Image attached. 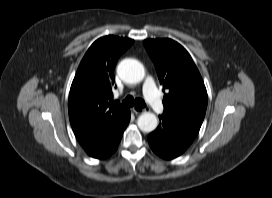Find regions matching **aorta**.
<instances>
[{
    "label": "aorta",
    "mask_w": 272,
    "mask_h": 198,
    "mask_svg": "<svg viewBox=\"0 0 272 198\" xmlns=\"http://www.w3.org/2000/svg\"><path fill=\"white\" fill-rule=\"evenodd\" d=\"M117 73L127 83H138L145 76L143 65L135 59L122 60L117 67ZM137 125L143 132H152L158 125L157 117L153 113L145 112L139 116Z\"/></svg>",
    "instance_id": "1"
}]
</instances>
